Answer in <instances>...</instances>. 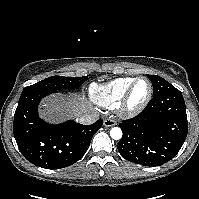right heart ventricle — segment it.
I'll return each mask as SVG.
<instances>
[{"label": "right heart ventricle", "mask_w": 199, "mask_h": 199, "mask_svg": "<svg viewBox=\"0 0 199 199\" xmlns=\"http://www.w3.org/2000/svg\"><path fill=\"white\" fill-rule=\"evenodd\" d=\"M134 78H117L104 84H92L89 89L94 103L104 108L115 107L122 100Z\"/></svg>", "instance_id": "1"}]
</instances>
